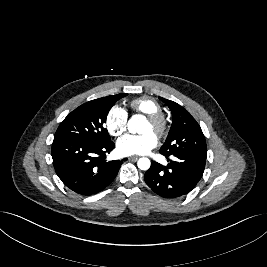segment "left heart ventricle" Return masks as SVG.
Masks as SVG:
<instances>
[{
    "mask_svg": "<svg viewBox=\"0 0 267 267\" xmlns=\"http://www.w3.org/2000/svg\"><path fill=\"white\" fill-rule=\"evenodd\" d=\"M142 132L143 133H148V132L154 133L153 132V127L151 126V124L148 121H146V123H145V125H144V127L142 129Z\"/></svg>",
    "mask_w": 267,
    "mask_h": 267,
    "instance_id": "obj_1",
    "label": "left heart ventricle"
}]
</instances>
